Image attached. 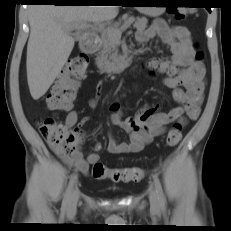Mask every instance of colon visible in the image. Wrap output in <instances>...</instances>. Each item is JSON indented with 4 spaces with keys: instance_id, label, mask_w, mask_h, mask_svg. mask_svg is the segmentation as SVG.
<instances>
[{
    "instance_id": "5ec220e1",
    "label": "colon",
    "mask_w": 231,
    "mask_h": 231,
    "mask_svg": "<svg viewBox=\"0 0 231 231\" xmlns=\"http://www.w3.org/2000/svg\"><path fill=\"white\" fill-rule=\"evenodd\" d=\"M177 21L186 19L185 8H175L172 11ZM195 58L198 62L203 59L202 52H197ZM88 59L85 55L70 58L64 69L55 80L47 96V105L52 110L67 111L72 105L76 95L79 81L86 76ZM40 134L53 145L69 149L77 145L83 136L79 128L71 129L64 124L57 123L53 117L41 118L38 121ZM182 138V126L174 123L167 134V144L174 147ZM92 176L95 179H110L113 182H138L145 177V172L139 167L108 168L101 162H96L92 167Z\"/></svg>"
}]
</instances>
